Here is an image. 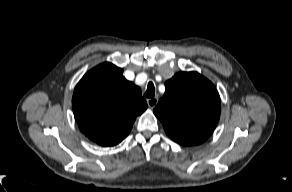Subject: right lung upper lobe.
<instances>
[{
    "mask_svg": "<svg viewBox=\"0 0 292 192\" xmlns=\"http://www.w3.org/2000/svg\"><path fill=\"white\" fill-rule=\"evenodd\" d=\"M72 106L80 130L105 147L120 143L136 117L147 109L140 88L111 63H102L82 77L74 90Z\"/></svg>",
    "mask_w": 292,
    "mask_h": 192,
    "instance_id": "cb5924a9",
    "label": "right lung upper lobe"
}]
</instances>
